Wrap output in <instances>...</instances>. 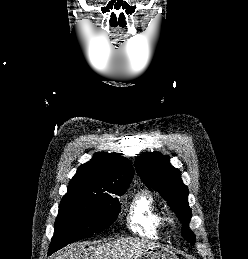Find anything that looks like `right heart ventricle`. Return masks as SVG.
I'll return each mask as SVG.
<instances>
[{"instance_id": "e07e8e85", "label": "right heart ventricle", "mask_w": 248, "mask_h": 259, "mask_svg": "<svg viewBox=\"0 0 248 259\" xmlns=\"http://www.w3.org/2000/svg\"><path fill=\"white\" fill-rule=\"evenodd\" d=\"M127 223L132 231L153 237L166 226V217L153 194L143 190L130 202Z\"/></svg>"}]
</instances>
